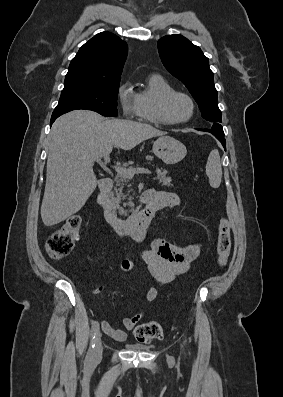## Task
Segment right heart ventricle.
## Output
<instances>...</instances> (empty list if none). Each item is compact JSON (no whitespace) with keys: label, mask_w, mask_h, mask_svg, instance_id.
<instances>
[{"label":"right heart ventricle","mask_w":283,"mask_h":397,"mask_svg":"<svg viewBox=\"0 0 283 397\" xmlns=\"http://www.w3.org/2000/svg\"><path fill=\"white\" fill-rule=\"evenodd\" d=\"M174 90L164 77L157 74L150 75L144 87L136 93L140 119L150 124H163L158 114L159 103L165 94Z\"/></svg>","instance_id":"obj_1"}]
</instances>
